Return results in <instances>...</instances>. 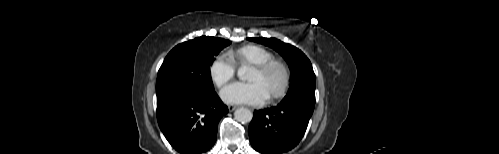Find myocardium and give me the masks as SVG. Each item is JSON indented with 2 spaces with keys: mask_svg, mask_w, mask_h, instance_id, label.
<instances>
[{
  "mask_svg": "<svg viewBox=\"0 0 499 154\" xmlns=\"http://www.w3.org/2000/svg\"><path fill=\"white\" fill-rule=\"evenodd\" d=\"M275 67H278L282 71V82L278 89L268 96L269 100L278 99L286 93L291 80L290 67L288 63L281 58H271L263 63L253 66V69L263 74L268 73Z\"/></svg>",
  "mask_w": 499,
  "mask_h": 154,
  "instance_id": "myocardium-1",
  "label": "myocardium"
}]
</instances>
